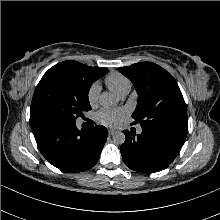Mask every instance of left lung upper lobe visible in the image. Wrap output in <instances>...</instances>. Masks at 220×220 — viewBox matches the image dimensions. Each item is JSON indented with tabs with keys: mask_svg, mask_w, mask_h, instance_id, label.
<instances>
[{
	"mask_svg": "<svg viewBox=\"0 0 220 220\" xmlns=\"http://www.w3.org/2000/svg\"><path fill=\"white\" fill-rule=\"evenodd\" d=\"M134 84L138 93L133 124L143 130L168 136L184 143L188 131L186 104L176 80L152 62L118 68Z\"/></svg>",
	"mask_w": 220,
	"mask_h": 220,
	"instance_id": "left-lung-upper-lobe-1",
	"label": "left lung upper lobe"
}]
</instances>
